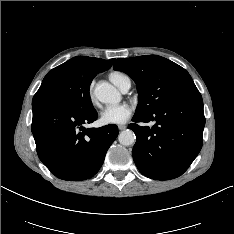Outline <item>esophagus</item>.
I'll use <instances>...</instances> for the list:
<instances>
[{
	"instance_id": "esophagus-1",
	"label": "esophagus",
	"mask_w": 234,
	"mask_h": 234,
	"mask_svg": "<svg viewBox=\"0 0 234 234\" xmlns=\"http://www.w3.org/2000/svg\"><path fill=\"white\" fill-rule=\"evenodd\" d=\"M118 129H119V130H125V129H126V126H125V125H119V126H118Z\"/></svg>"
}]
</instances>
